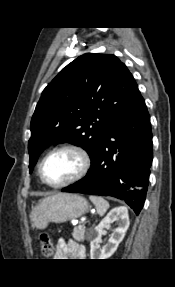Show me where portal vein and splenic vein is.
I'll return each mask as SVG.
<instances>
[{
	"instance_id": "obj_1",
	"label": "portal vein and splenic vein",
	"mask_w": 175,
	"mask_h": 287,
	"mask_svg": "<svg viewBox=\"0 0 175 287\" xmlns=\"http://www.w3.org/2000/svg\"><path fill=\"white\" fill-rule=\"evenodd\" d=\"M84 221H85L84 219H83V220H81V224H83V223H84ZM80 226H82V225H80Z\"/></svg>"
}]
</instances>
